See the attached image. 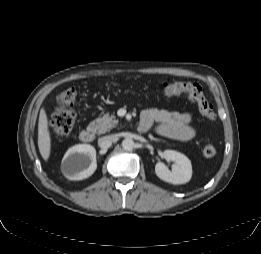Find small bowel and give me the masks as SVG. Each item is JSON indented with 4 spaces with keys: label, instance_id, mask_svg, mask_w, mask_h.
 I'll use <instances>...</instances> for the list:
<instances>
[{
    "label": "small bowel",
    "instance_id": "c3829d8e",
    "mask_svg": "<svg viewBox=\"0 0 261 254\" xmlns=\"http://www.w3.org/2000/svg\"><path fill=\"white\" fill-rule=\"evenodd\" d=\"M194 115L190 112H173L160 109H147L142 113L140 131H147L156 124V133L178 141H191L196 131L191 127Z\"/></svg>",
    "mask_w": 261,
    "mask_h": 254
}]
</instances>
